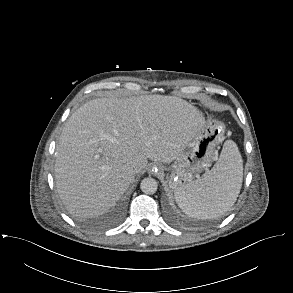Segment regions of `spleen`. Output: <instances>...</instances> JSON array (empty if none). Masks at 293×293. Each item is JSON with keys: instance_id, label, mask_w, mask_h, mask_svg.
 <instances>
[{"instance_id": "spleen-1", "label": "spleen", "mask_w": 293, "mask_h": 293, "mask_svg": "<svg viewBox=\"0 0 293 293\" xmlns=\"http://www.w3.org/2000/svg\"><path fill=\"white\" fill-rule=\"evenodd\" d=\"M243 180V161L235 142L227 140L213 168L175 192L178 206L194 218L225 214L235 203Z\"/></svg>"}]
</instances>
